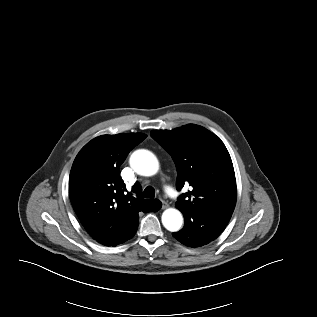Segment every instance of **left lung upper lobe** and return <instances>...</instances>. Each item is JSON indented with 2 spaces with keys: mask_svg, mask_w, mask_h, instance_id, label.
I'll list each match as a JSON object with an SVG mask.
<instances>
[{
  "mask_svg": "<svg viewBox=\"0 0 317 317\" xmlns=\"http://www.w3.org/2000/svg\"><path fill=\"white\" fill-rule=\"evenodd\" d=\"M151 136L175 162L177 189L191 186L176 202L183 214L213 210L232 215L237 198L235 173L230 155L216 135L188 124L171 131L154 130Z\"/></svg>",
  "mask_w": 317,
  "mask_h": 317,
  "instance_id": "left-lung-upper-lobe-1",
  "label": "left lung upper lobe"
}]
</instances>
